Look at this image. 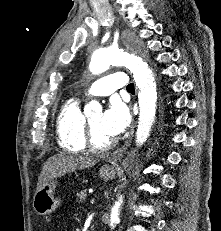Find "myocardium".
<instances>
[{"mask_svg": "<svg viewBox=\"0 0 221 231\" xmlns=\"http://www.w3.org/2000/svg\"><path fill=\"white\" fill-rule=\"evenodd\" d=\"M83 127H84V141H85L86 147L90 151L98 152V153L106 152L112 149L117 144L116 139H113L104 145L97 144L94 140L92 128H91L88 117L84 118Z\"/></svg>", "mask_w": 221, "mask_h": 231, "instance_id": "myocardium-1", "label": "myocardium"}]
</instances>
